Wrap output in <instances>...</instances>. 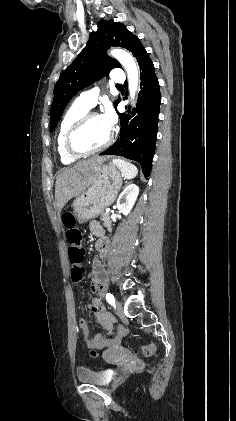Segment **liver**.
Segmentation results:
<instances>
[{
    "mask_svg": "<svg viewBox=\"0 0 236 421\" xmlns=\"http://www.w3.org/2000/svg\"><path fill=\"white\" fill-rule=\"evenodd\" d=\"M107 160V156H92L88 160L77 162L73 168H64L58 172L55 182V200L58 213H61L62 208L72 196H78L79 192L83 190L85 184V176L82 172H86L89 168H98Z\"/></svg>",
    "mask_w": 236,
    "mask_h": 421,
    "instance_id": "liver-1",
    "label": "liver"
}]
</instances>
